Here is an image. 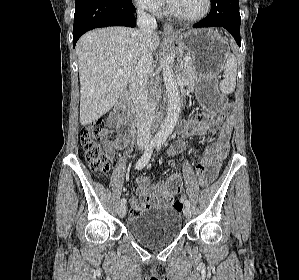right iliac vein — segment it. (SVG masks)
<instances>
[{
    "instance_id": "right-iliac-vein-1",
    "label": "right iliac vein",
    "mask_w": 299,
    "mask_h": 280,
    "mask_svg": "<svg viewBox=\"0 0 299 280\" xmlns=\"http://www.w3.org/2000/svg\"><path fill=\"white\" fill-rule=\"evenodd\" d=\"M119 215L122 218L126 215V206H125V204H121V206L119 207Z\"/></svg>"
}]
</instances>
